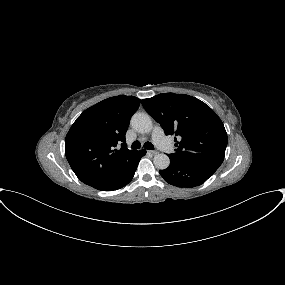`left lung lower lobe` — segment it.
Returning <instances> with one entry per match:
<instances>
[{
	"mask_svg": "<svg viewBox=\"0 0 285 285\" xmlns=\"http://www.w3.org/2000/svg\"><path fill=\"white\" fill-rule=\"evenodd\" d=\"M217 168L209 165L180 161L170 157V166L160 171L163 179L177 187H196L210 178Z\"/></svg>",
	"mask_w": 285,
	"mask_h": 285,
	"instance_id": "obj_1",
	"label": "left lung lower lobe"
}]
</instances>
